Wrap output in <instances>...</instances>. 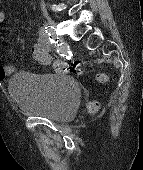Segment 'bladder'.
<instances>
[{
    "instance_id": "bladder-1",
    "label": "bladder",
    "mask_w": 143,
    "mask_h": 170,
    "mask_svg": "<svg viewBox=\"0 0 143 170\" xmlns=\"http://www.w3.org/2000/svg\"><path fill=\"white\" fill-rule=\"evenodd\" d=\"M8 91L21 111L59 122L76 115L81 99L77 81L66 73L20 71Z\"/></svg>"
}]
</instances>
